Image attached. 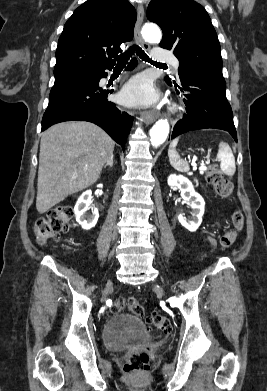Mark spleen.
Listing matches in <instances>:
<instances>
[{
	"mask_svg": "<svg viewBox=\"0 0 267 391\" xmlns=\"http://www.w3.org/2000/svg\"><path fill=\"white\" fill-rule=\"evenodd\" d=\"M178 143V138L174 139L168 149V157L171 166L180 172L189 171L188 163L181 159L178 152L176 151V146ZM217 159L220 160L221 171L227 176H233L236 171L235 158L232 153L230 146L225 142H220L219 150L217 153Z\"/></svg>",
	"mask_w": 267,
	"mask_h": 391,
	"instance_id": "obj_1",
	"label": "spleen"
}]
</instances>
